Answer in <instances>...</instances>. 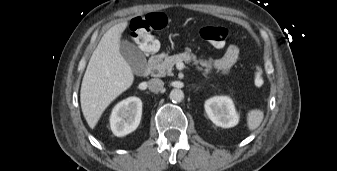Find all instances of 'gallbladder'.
Here are the masks:
<instances>
[{"label": "gallbladder", "instance_id": "gallbladder-1", "mask_svg": "<svg viewBox=\"0 0 337 171\" xmlns=\"http://www.w3.org/2000/svg\"><path fill=\"white\" fill-rule=\"evenodd\" d=\"M120 52L136 75H142L146 68L143 53L132 43L125 40L120 43Z\"/></svg>", "mask_w": 337, "mask_h": 171}]
</instances>
